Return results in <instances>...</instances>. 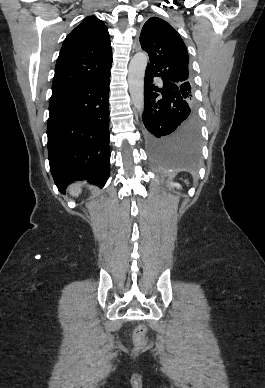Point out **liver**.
I'll list each match as a JSON object with an SVG mask.
<instances>
[{
    "instance_id": "obj_1",
    "label": "liver",
    "mask_w": 265,
    "mask_h": 388,
    "mask_svg": "<svg viewBox=\"0 0 265 388\" xmlns=\"http://www.w3.org/2000/svg\"><path fill=\"white\" fill-rule=\"evenodd\" d=\"M81 186H82V184H71V186H69L68 190H69L70 194H72V196H79V194H81V192H82Z\"/></svg>"
}]
</instances>
